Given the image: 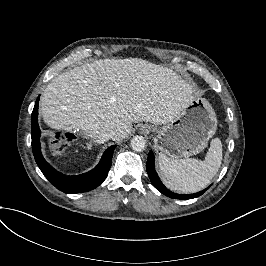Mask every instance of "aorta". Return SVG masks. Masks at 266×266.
<instances>
[{"instance_id": "1", "label": "aorta", "mask_w": 266, "mask_h": 266, "mask_svg": "<svg viewBox=\"0 0 266 266\" xmlns=\"http://www.w3.org/2000/svg\"><path fill=\"white\" fill-rule=\"evenodd\" d=\"M130 145L134 151H143L146 148V140L142 136L132 138Z\"/></svg>"}]
</instances>
